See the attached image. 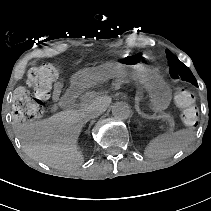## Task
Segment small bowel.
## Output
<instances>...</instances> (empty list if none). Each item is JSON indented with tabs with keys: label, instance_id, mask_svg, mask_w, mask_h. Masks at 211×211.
<instances>
[{
	"label": "small bowel",
	"instance_id": "c3829d8e",
	"mask_svg": "<svg viewBox=\"0 0 211 211\" xmlns=\"http://www.w3.org/2000/svg\"><path fill=\"white\" fill-rule=\"evenodd\" d=\"M61 92H62V84L61 82H57L54 85V89L51 95L52 100L57 101L60 98Z\"/></svg>",
	"mask_w": 211,
	"mask_h": 211
}]
</instances>
